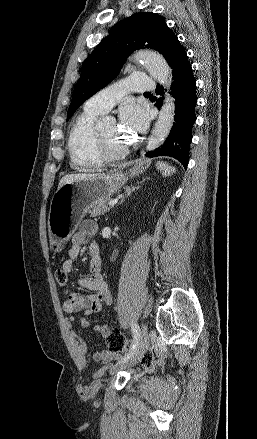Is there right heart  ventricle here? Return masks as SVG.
I'll list each match as a JSON object with an SVG mask.
<instances>
[{"label":"right heart ventricle","mask_w":257,"mask_h":439,"mask_svg":"<svg viewBox=\"0 0 257 439\" xmlns=\"http://www.w3.org/2000/svg\"><path fill=\"white\" fill-rule=\"evenodd\" d=\"M101 113L84 111L75 120L68 137L72 166L80 171L99 167L103 161L97 146L95 121Z\"/></svg>","instance_id":"obj_1"}]
</instances>
